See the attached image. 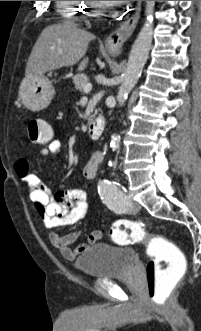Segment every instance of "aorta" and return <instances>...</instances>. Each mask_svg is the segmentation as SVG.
Returning a JSON list of instances; mask_svg holds the SVG:
<instances>
[{"instance_id": "1", "label": "aorta", "mask_w": 201, "mask_h": 331, "mask_svg": "<svg viewBox=\"0 0 201 331\" xmlns=\"http://www.w3.org/2000/svg\"><path fill=\"white\" fill-rule=\"evenodd\" d=\"M153 14H154V1H146L145 15L146 20L141 28L134 44L132 46L128 63L122 76V83L119 87L117 94V101L119 106H123L128 93L137 83L145 62L148 58L149 50L152 44L153 37ZM120 136L113 134L111 136L110 146L113 151L119 148ZM111 161L109 165H111Z\"/></svg>"}]
</instances>
